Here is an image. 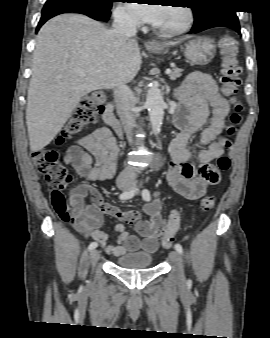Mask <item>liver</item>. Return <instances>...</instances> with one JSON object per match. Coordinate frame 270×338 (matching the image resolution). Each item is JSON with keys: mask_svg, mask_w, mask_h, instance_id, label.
<instances>
[{"mask_svg": "<svg viewBox=\"0 0 270 338\" xmlns=\"http://www.w3.org/2000/svg\"><path fill=\"white\" fill-rule=\"evenodd\" d=\"M141 63L135 39L119 38L84 15L50 19L40 29L33 53L26 109L31 151L42 150L56 137L83 96L132 81ZM80 69L84 77L78 75Z\"/></svg>", "mask_w": 270, "mask_h": 338, "instance_id": "obj_1", "label": "liver"}]
</instances>
